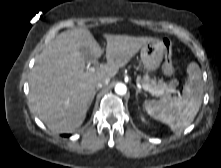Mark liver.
Wrapping results in <instances>:
<instances>
[{
  "label": "liver",
  "instance_id": "liver-1",
  "mask_svg": "<svg viewBox=\"0 0 221 168\" xmlns=\"http://www.w3.org/2000/svg\"><path fill=\"white\" fill-rule=\"evenodd\" d=\"M151 37L107 35V63L85 71L79 48L87 47L96 58L102 50L85 28L60 33L41 52L32 70L29 100L38 118L57 133L73 132L84 122L96 84L114 77Z\"/></svg>",
  "mask_w": 221,
  "mask_h": 168
}]
</instances>
